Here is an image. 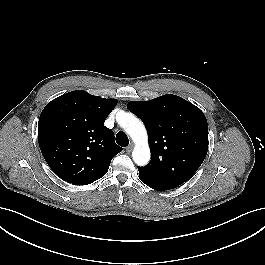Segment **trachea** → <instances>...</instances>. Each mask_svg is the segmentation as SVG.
Returning a JSON list of instances; mask_svg holds the SVG:
<instances>
[{
    "label": "trachea",
    "mask_w": 265,
    "mask_h": 265,
    "mask_svg": "<svg viewBox=\"0 0 265 265\" xmlns=\"http://www.w3.org/2000/svg\"><path fill=\"white\" fill-rule=\"evenodd\" d=\"M116 142L118 145L126 147L129 144V139L124 132L120 131L116 135Z\"/></svg>",
    "instance_id": "trachea-1"
}]
</instances>
